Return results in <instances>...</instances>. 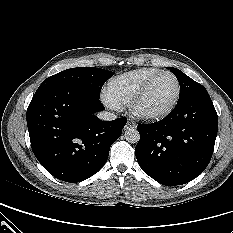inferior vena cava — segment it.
<instances>
[{"mask_svg": "<svg viewBox=\"0 0 233 233\" xmlns=\"http://www.w3.org/2000/svg\"><path fill=\"white\" fill-rule=\"evenodd\" d=\"M97 117L101 120L104 121H111L116 119V115L111 113V112H107V111H101L97 114Z\"/></svg>", "mask_w": 233, "mask_h": 233, "instance_id": "obj_1", "label": "inferior vena cava"}]
</instances>
